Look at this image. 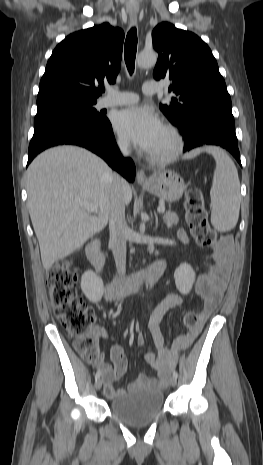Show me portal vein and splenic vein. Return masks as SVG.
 Wrapping results in <instances>:
<instances>
[{"mask_svg":"<svg viewBox=\"0 0 263 465\" xmlns=\"http://www.w3.org/2000/svg\"><path fill=\"white\" fill-rule=\"evenodd\" d=\"M80 205H81L84 209H86L88 212L98 214V208H97V206L92 205V204H89V203H86V202H80ZM164 211H165V207H164V206H159V207H158V212H159V213H163Z\"/></svg>","mask_w":263,"mask_h":465,"instance_id":"obj_1","label":"portal vein and splenic vein"}]
</instances>
